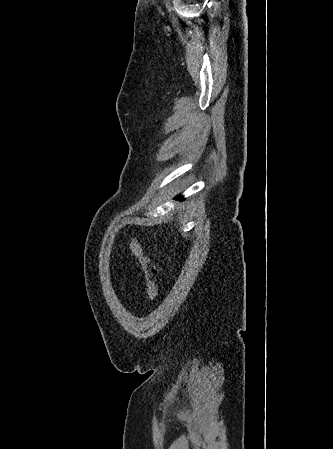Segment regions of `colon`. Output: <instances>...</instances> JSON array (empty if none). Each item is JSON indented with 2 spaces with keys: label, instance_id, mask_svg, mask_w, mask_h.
<instances>
[{
  "label": "colon",
  "instance_id": "colon-1",
  "mask_svg": "<svg viewBox=\"0 0 333 449\" xmlns=\"http://www.w3.org/2000/svg\"><path fill=\"white\" fill-rule=\"evenodd\" d=\"M129 247L146 273L147 295L151 301H154L158 298L159 295L158 286L155 280L158 269L139 241L131 239L129 241Z\"/></svg>",
  "mask_w": 333,
  "mask_h": 449
}]
</instances>
